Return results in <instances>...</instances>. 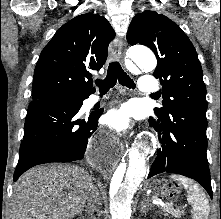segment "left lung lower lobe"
Instances as JSON below:
<instances>
[{"label": "left lung lower lobe", "mask_w": 221, "mask_h": 219, "mask_svg": "<svg viewBox=\"0 0 221 219\" xmlns=\"http://www.w3.org/2000/svg\"><path fill=\"white\" fill-rule=\"evenodd\" d=\"M150 125L158 132L161 148L148 177L169 172L196 180L212 198L211 178L206 155L207 119L195 112L174 109Z\"/></svg>", "instance_id": "1"}]
</instances>
